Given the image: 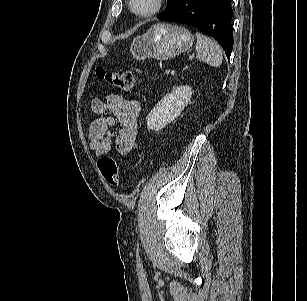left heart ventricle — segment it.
I'll list each match as a JSON object with an SVG mask.
<instances>
[{
  "label": "left heart ventricle",
  "instance_id": "left-heart-ventricle-1",
  "mask_svg": "<svg viewBox=\"0 0 307 301\" xmlns=\"http://www.w3.org/2000/svg\"><path fill=\"white\" fill-rule=\"evenodd\" d=\"M156 0H134L133 6L139 12H147L155 5Z\"/></svg>",
  "mask_w": 307,
  "mask_h": 301
}]
</instances>
